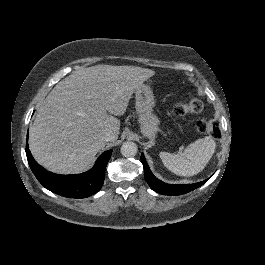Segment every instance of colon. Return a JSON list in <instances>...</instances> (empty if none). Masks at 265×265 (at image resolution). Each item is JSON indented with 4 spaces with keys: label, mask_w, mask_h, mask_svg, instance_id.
Wrapping results in <instances>:
<instances>
[{
    "label": "colon",
    "mask_w": 265,
    "mask_h": 265,
    "mask_svg": "<svg viewBox=\"0 0 265 265\" xmlns=\"http://www.w3.org/2000/svg\"><path fill=\"white\" fill-rule=\"evenodd\" d=\"M203 109V102L198 97H193L188 103L178 102L173 107V113L177 116H184L191 113H198ZM197 130L218 139L221 136V129L218 123L212 120H202L197 123Z\"/></svg>",
    "instance_id": "colon-1"
}]
</instances>
